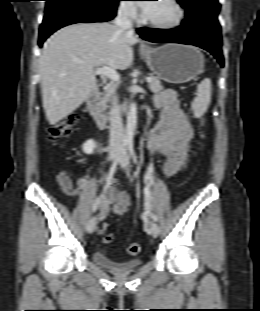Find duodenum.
Returning <instances> with one entry per match:
<instances>
[{"label": "duodenum", "instance_id": "duodenum-1", "mask_svg": "<svg viewBox=\"0 0 260 311\" xmlns=\"http://www.w3.org/2000/svg\"><path fill=\"white\" fill-rule=\"evenodd\" d=\"M85 105L88 113L98 124L105 125L110 120V114L106 113L101 106L98 96V86H95L90 90L86 97ZM129 108L130 105H125L122 107V110L127 111Z\"/></svg>", "mask_w": 260, "mask_h": 311}]
</instances>
